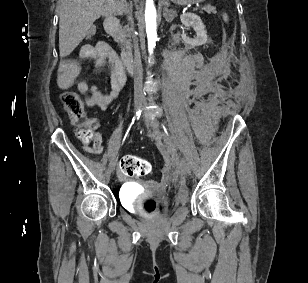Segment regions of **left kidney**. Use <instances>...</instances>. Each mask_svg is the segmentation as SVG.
<instances>
[{
    "instance_id": "left-kidney-1",
    "label": "left kidney",
    "mask_w": 308,
    "mask_h": 283,
    "mask_svg": "<svg viewBox=\"0 0 308 283\" xmlns=\"http://www.w3.org/2000/svg\"><path fill=\"white\" fill-rule=\"evenodd\" d=\"M181 22L185 27H192L197 34L196 38H190L185 33L181 37L185 44L191 46L203 45L207 41V33L201 18L193 13H185L180 16Z\"/></svg>"
}]
</instances>
